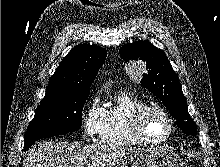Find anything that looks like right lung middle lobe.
Wrapping results in <instances>:
<instances>
[{"instance_id":"1","label":"right lung middle lobe","mask_w":220,"mask_h":167,"mask_svg":"<svg viewBox=\"0 0 220 167\" xmlns=\"http://www.w3.org/2000/svg\"><path fill=\"white\" fill-rule=\"evenodd\" d=\"M90 90L74 91L43 99L29 124L24 141L28 150L35 141L77 131Z\"/></svg>"}]
</instances>
